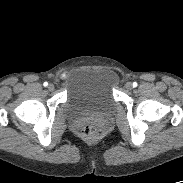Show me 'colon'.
Segmentation results:
<instances>
[{
    "label": "colon",
    "instance_id": "1",
    "mask_svg": "<svg viewBox=\"0 0 183 183\" xmlns=\"http://www.w3.org/2000/svg\"><path fill=\"white\" fill-rule=\"evenodd\" d=\"M80 133L84 138L93 140L99 134L98 126L94 121L84 122L80 126Z\"/></svg>",
    "mask_w": 183,
    "mask_h": 183
}]
</instances>
